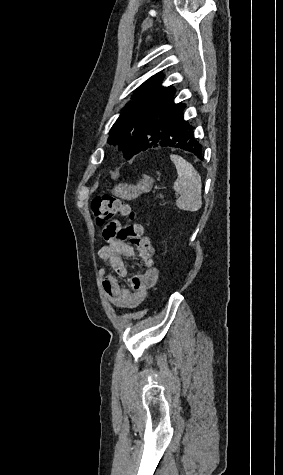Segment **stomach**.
Returning a JSON list of instances; mask_svg holds the SVG:
<instances>
[{
  "instance_id": "1",
  "label": "stomach",
  "mask_w": 283,
  "mask_h": 475,
  "mask_svg": "<svg viewBox=\"0 0 283 475\" xmlns=\"http://www.w3.org/2000/svg\"><path fill=\"white\" fill-rule=\"evenodd\" d=\"M153 178L150 176H144L141 182H138L137 186H128V184H119L115 186L112 190L114 196L117 198H122V200H135L140 194H145V192H150L153 186Z\"/></svg>"
}]
</instances>
